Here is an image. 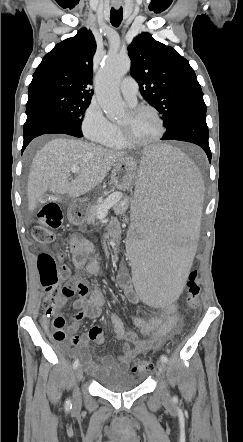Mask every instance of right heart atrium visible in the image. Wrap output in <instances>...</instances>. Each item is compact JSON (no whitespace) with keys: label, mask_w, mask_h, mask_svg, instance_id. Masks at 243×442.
<instances>
[{"label":"right heart atrium","mask_w":243,"mask_h":442,"mask_svg":"<svg viewBox=\"0 0 243 442\" xmlns=\"http://www.w3.org/2000/svg\"><path fill=\"white\" fill-rule=\"evenodd\" d=\"M81 129L87 139L102 143L111 135L113 124L105 116L99 104L92 101L84 112Z\"/></svg>","instance_id":"right-heart-atrium-1"}]
</instances>
